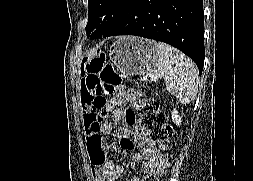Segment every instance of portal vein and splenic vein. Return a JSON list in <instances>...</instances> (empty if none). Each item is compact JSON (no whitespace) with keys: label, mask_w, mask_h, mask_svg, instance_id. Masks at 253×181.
I'll list each match as a JSON object with an SVG mask.
<instances>
[{"label":"portal vein and splenic vein","mask_w":253,"mask_h":181,"mask_svg":"<svg viewBox=\"0 0 253 181\" xmlns=\"http://www.w3.org/2000/svg\"><path fill=\"white\" fill-rule=\"evenodd\" d=\"M150 78H151L152 81H156L158 79V76L152 74V75H150Z\"/></svg>","instance_id":"portal-vein-and-splenic-vein-1"}]
</instances>
